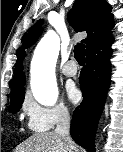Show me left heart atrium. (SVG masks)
I'll return each instance as SVG.
<instances>
[{"label":"left heart atrium","mask_w":123,"mask_h":152,"mask_svg":"<svg viewBox=\"0 0 123 152\" xmlns=\"http://www.w3.org/2000/svg\"><path fill=\"white\" fill-rule=\"evenodd\" d=\"M66 93L71 102L77 103L80 100V91L73 82L67 84Z\"/></svg>","instance_id":"left-heart-atrium-1"}]
</instances>
